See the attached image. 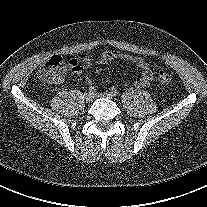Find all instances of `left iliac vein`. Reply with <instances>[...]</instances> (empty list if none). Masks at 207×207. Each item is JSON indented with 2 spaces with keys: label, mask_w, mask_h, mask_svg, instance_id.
Masks as SVG:
<instances>
[{
  "label": "left iliac vein",
  "mask_w": 207,
  "mask_h": 207,
  "mask_svg": "<svg viewBox=\"0 0 207 207\" xmlns=\"http://www.w3.org/2000/svg\"><path fill=\"white\" fill-rule=\"evenodd\" d=\"M95 97H97V98H107V99H112L113 98V96L110 94V93H96L95 94Z\"/></svg>",
  "instance_id": "left-iliac-vein-1"
}]
</instances>
